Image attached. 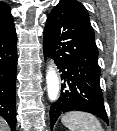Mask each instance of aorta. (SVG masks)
<instances>
[{
	"mask_svg": "<svg viewBox=\"0 0 117 131\" xmlns=\"http://www.w3.org/2000/svg\"><path fill=\"white\" fill-rule=\"evenodd\" d=\"M47 95L50 101L54 102L58 99L59 95V78L57 72L52 64L48 66L46 73Z\"/></svg>",
	"mask_w": 117,
	"mask_h": 131,
	"instance_id": "aorta-1",
	"label": "aorta"
}]
</instances>
